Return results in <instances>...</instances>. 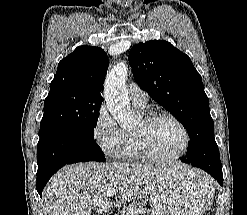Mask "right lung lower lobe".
Instances as JSON below:
<instances>
[{"label": "right lung lower lobe", "mask_w": 247, "mask_h": 215, "mask_svg": "<svg viewBox=\"0 0 247 215\" xmlns=\"http://www.w3.org/2000/svg\"><path fill=\"white\" fill-rule=\"evenodd\" d=\"M37 152L36 187L41 197L45 184L64 165L106 160L94 140L70 130H51L40 135Z\"/></svg>", "instance_id": "1"}]
</instances>
